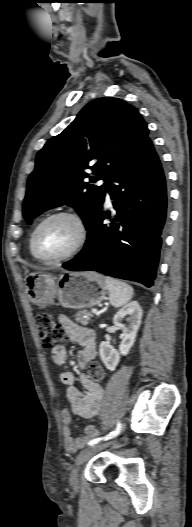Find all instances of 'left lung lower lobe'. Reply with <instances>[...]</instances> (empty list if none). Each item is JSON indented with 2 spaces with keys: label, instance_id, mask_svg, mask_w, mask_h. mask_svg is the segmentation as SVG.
<instances>
[{
  "label": "left lung lower lobe",
  "instance_id": "0a47b994",
  "mask_svg": "<svg viewBox=\"0 0 192 527\" xmlns=\"http://www.w3.org/2000/svg\"><path fill=\"white\" fill-rule=\"evenodd\" d=\"M109 184L115 215L101 206L82 251L65 269L95 270L151 287L156 277L167 214L166 178L151 140H147ZM103 204V203H102ZM109 218L111 223L104 224Z\"/></svg>",
  "mask_w": 192,
  "mask_h": 527
}]
</instances>
